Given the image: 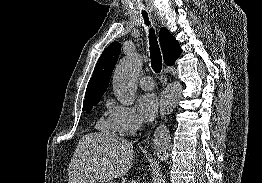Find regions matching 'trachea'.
I'll list each match as a JSON object with an SVG mask.
<instances>
[{"mask_svg":"<svg viewBox=\"0 0 262 183\" xmlns=\"http://www.w3.org/2000/svg\"><path fill=\"white\" fill-rule=\"evenodd\" d=\"M143 18L145 20L146 25H150V21L148 19L147 12H142ZM149 50H150V58H151V67L156 73H160L162 70V56L161 51L158 45L157 37L153 28L149 29Z\"/></svg>","mask_w":262,"mask_h":183,"instance_id":"obj_1","label":"trachea"}]
</instances>
